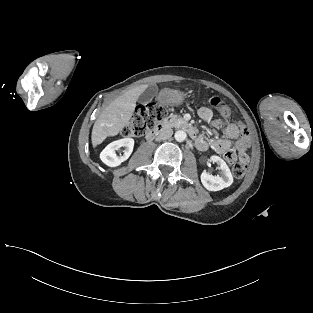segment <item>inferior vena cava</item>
I'll use <instances>...</instances> for the list:
<instances>
[{"label":"inferior vena cava","mask_w":313,"mask_h":313,"mask_svg":"<svg viewBox=\"0 0 313 313\" xmlns=\"http://www.w3.org/2000/svg\"><path fill=\"white\" fill-rule=\"evenodd\" d=\"M172 129L163 130L156 138L157 141L166 140L172 136Z\"/></svg>","instance_id":"obj_1"}]
</instances>
